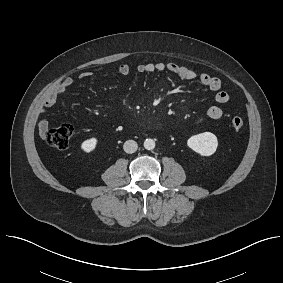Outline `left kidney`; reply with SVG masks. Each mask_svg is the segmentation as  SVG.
<instances>
[{
    "label": "left kidney",
    "mask_w": 283,
    "mask_h": 283,
    "mask_svg": "<svg viewBox=\"0 0 283 283\" xmlns=\"http://www.w3.org/2000/svg\"><path fill=\"white\" fill-rule=\"evenodd\" d=\"M187 145L201 156H211L218 147L217 137L211 132H204L191 136Z\"/></svg>",
    "instance_id": "left-kidney-1"
}]
</instances>
